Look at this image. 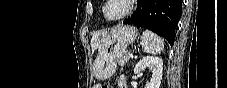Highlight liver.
<instances>
[{
	"instance_id": "1",
	"label": "liver",
	"mask_w": 227,
	"mask_h": 88,
	"mask_svg": "<svg viewBox=\"0 0 227 88\" xmlns=\"http://www.w3.org/2000/svg\"><path fill=\"white\" fill-rule=\"evenodd\" d=\"M100 36H102V38L106 37L107 32L98 33L92 37V40H91L92 51L97 49V47L99 46V44L101 42Z\"/></svg>"
}]
</instances>
